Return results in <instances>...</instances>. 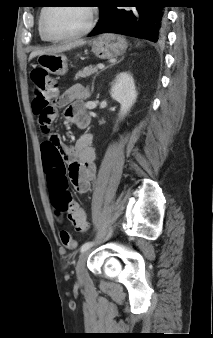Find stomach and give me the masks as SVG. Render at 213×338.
Instances as JSON below:
<instances>
[{
  "instance_id": "obj_1",
  "label": "stomach",
  "mask_w": 213,
  "mask_h": 338,
  "mask_svg": "<svg viewBox=\"0 0 213 338\" xmlns=\"http://www.w3.org/2000/svg\"><path fill=\"white\" fill-rule=\"evenodd\" d=\"M92 52L100 59H114L124 54L127 49L126 39L117 34H102L90 43ZM38 65L53 75L67 72V58L64 54H45L37 58Z\"/></svg>"
}]
</instances>
